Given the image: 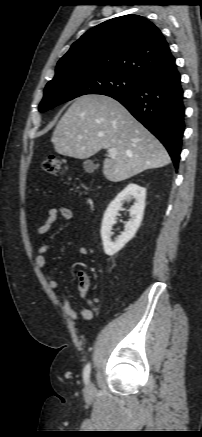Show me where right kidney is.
I'll list each match as a JSON object with an SVG mask.
<instances>
[{"label": "right kidney", "instance_id": "1", "mask_svg": "<svg viewBox=\"0 0 202 437\" xmlns=\"http://www.w3.org/2000/svg\"><path fill=\"white\" fill-rule=\"evenodd\" d=\"M146 189L130 183L122 190L117 197L110 203L105 211L102 226L101 237L103 241L104 252L108 256L115 255L120 251L136 234L141 225L145 209ZM134 199V204L130 208V220L125 224L122 232L115 241L111 240L112 226L115 223L118 211L122 208L125 200Z\"/></svg>", "mask_w": 202, "mask_h": 437}]
</instances>
